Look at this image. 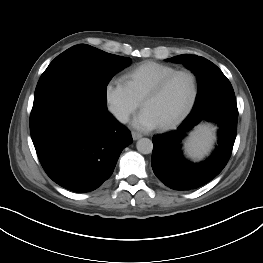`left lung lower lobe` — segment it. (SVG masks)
I'll return each instance as SVG.
<instances>
[{"mask_svg": "<svg viewBox=\"0 0 263 263\" xmlns=\"http://www.w3.org/2000/svg\"><path fill=\"white\" fill-rule=\"evenodd\" d=\"M238 109L235 96L217 97L194 108L175 130L154 136L152 169L157 178L174 190H192L211 181L227 164L237 131ZM213 122L219 127L214 152L200 163L183 156L181 141L201 122Z\"/></svg>", "mask_w": 263, "mask_h": 263, "instance_id": "left-lung-lower-lobe-1", "label": "left lung lower lobe"}]
</instances>
